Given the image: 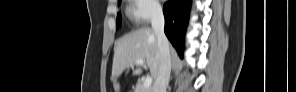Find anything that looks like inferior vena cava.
I'll use <instances>...</instances> for the list:
<instances>
[{
  "label": "inferior vena cava",
  "mask_w": 296,
  "mask_h": 92,
  "mask_svg": "<svg viewBox=\"0 0 296 92\" xmlns=\"http://www.w3.org/2000/svg\"><path fill=\"white\" fill-rule=\"evenodd\" d=\"M151 25L157 37L160 57L159 73L153 85V92H166L170 79L171 57L169 51V41L164 33V15L160 6H156L153 9Z\"/></svg>",
  "instance_id": "1"
}]
</instances>
